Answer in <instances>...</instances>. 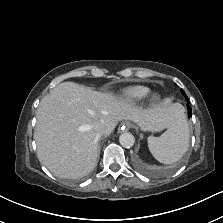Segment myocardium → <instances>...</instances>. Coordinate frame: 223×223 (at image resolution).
<instances>
[{"instance_id":"myocardium-1","label":"myocardium","mask_w":223,"mask_h":223,"mask_svg":"<svg viewBox=\"0 0 223 223\" xmlns=\"http://www.w3.org/2000/svg\"><path fill=\"white\" fill-rule=\"evenodd\" d=\"M159 99H160V98H159L158 95H153V96L151 97V101H152L153 103L159 101Z\"/></svg>"}]
</instances>
